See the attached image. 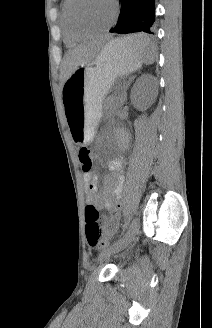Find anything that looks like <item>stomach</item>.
Returning <instances> with one entry per match:
<instances>
[{"mask_svg":"<svg viewBox=\"0 0 212 328\" xmlns=\"http://www.w3.org/2000/svg\"><path fill=\"white\" fill-rule=\"evenodd\" d=\"M146 51L130 50L109 41L90 65H81L65 80L63 100L74 141L86 144L94 136L102 102L116 78L139 69Z\"/></svg>","mask_w":212,"mask_h":328,"instance_id":"stomach-1","label":"stomach"}]
</instances>
